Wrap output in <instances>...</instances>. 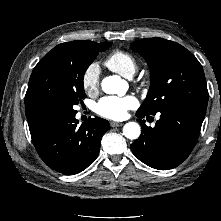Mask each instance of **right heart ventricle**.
Here are the masks:
<instances>
[{
    "label": "right heart ventricle",
    "instance_id": "1",
    "mask_svg": "<svg viewBox=\"0 0 221 221\" xmlns=\"http://www.w3.org/2000/svg\"><path fill=\"white\" fill-rule=\"evenodd\" d=\"M104 63L111 71L126 78H131L137 70L136 58L123 50H115L110 53Z\"/></svg>",
    "mask_w": 221,
    "mask_h": 221
}]
</instances>
